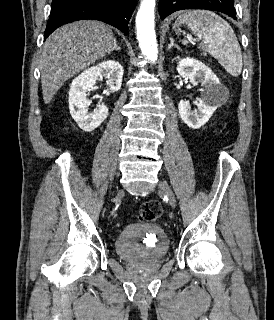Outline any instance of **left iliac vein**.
<instances>
[{"label": "left iliac vein", "mask_w": 274, "mask_h": 320, "mask_svg": "<svg viewBox=\"0 0 274 320\" xmlns=\"http://www.w3.org/2000/svg\"><path fill=\"white\" fill-rule=\"evenodd\" d=\"M159 189L166 195V197L168 198L170 205L172 207L176 206V199L175 196L171 190V188L169 187V185L166 182H160L159 183Z\"/></svg>", "instance_id": "1"}]
</instances>
